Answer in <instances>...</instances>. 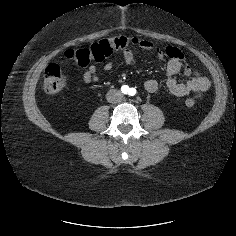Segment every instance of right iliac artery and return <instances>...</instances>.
Listing matches in <instances>:
<instances>
[{
	"label": "right iliac artery",
	"mask_w": 236,
	"mask_h": 236,
	"mask_svg": "<svg viewBox=\"0 0 236 236\" xmlns=\"http://www.w3.org/2000/svg\"><path fill=\"white\" fill-rule=\"evenodd\" d=\"M121 91L124 93V94H127L129 92V87L127 85H123L121 87Z\"/></svg>",
	"instance_id": "82829eb1"
}]
</instances>
